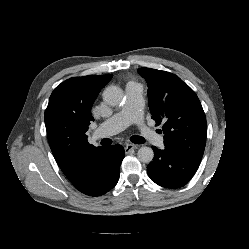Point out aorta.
<instances>
[{"label":"aorta","instance_id":"1","mask_svg":"<svg viewBox=\"0 0 249 249\" xmlns=\"http://www.w3.org/2000/svg\"><path fill=\"white\" fill-rule=\"evenodd\" d=\"M124 98L123 90L115 85L107 87L103 92V100L110 106H117L121 104ZM139 161L143 163H150L153 160L154 152L152 148L143 146L137 152Z\"/></svg>","mask_w":249,"mask_h":249}]
</instances>
